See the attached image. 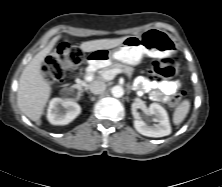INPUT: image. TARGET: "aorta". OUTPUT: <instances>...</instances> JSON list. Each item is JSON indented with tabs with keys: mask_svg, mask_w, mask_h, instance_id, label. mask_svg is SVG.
Instances as JSON below:
<instances>
[{
	"mask_svg": "<svg viewBox=\"0 0 222 187\" xmlns=\"http://www.w3.org/2000/svg\"><path fill=\"white\" fill-rule=\"evenodd\" d=\"M111 94L116 98H120L124 95V90L121 86L117 85L112 87Z\"/></svg>",
	"mask_w": 222,
	"mask_h": 187,
	"instance_id": "762f6f07",
	"label": "aorta"
}]
</instances>
